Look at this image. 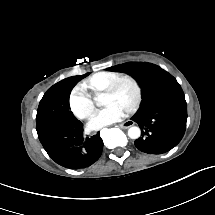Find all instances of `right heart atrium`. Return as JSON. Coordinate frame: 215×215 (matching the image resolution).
<instances>
[{"mask_svg":"<svg viewBox=\"0 0 215 215\" xmlns=\"http://www.w3.org/2000/svg\"><path fill=\"white\" fill-rule=\"evenodd\" d=\"M73 112L80 118H87L94 113L95 105L89 97H83L75 91L70 98Z\"/></svg>","mask_w":215,"mask_h":215,"instance_id":"1","label":"right heart atrium"}]
</instances>
